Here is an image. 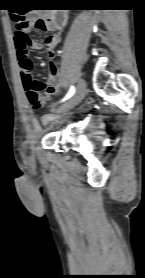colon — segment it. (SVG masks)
Instances as JSON below:
<instances>
[{"mask_svg": "<svg viewBox=\"0 0 145 278\" xmlns=\"http://www.w3.org/2000/svg\"><path fill=\"white\" fill-rule=\"evenodd\" d=\"M49 25V18L37 17L33 19L31 25L26 22L16 20L14 26V36L17 40L16 49L18 58H24L27 55L29 48V39L25 34L27 28L31 27L35 31H44ZM28 89V100L32 107L40 108L43 105L42 97L40 94L41 86L30 78L26 82Z\"/></svg>", "mask_w": 145, "mask_h": 278, "instance_id": "obj_1", "label": "colon"}]
</instances>
